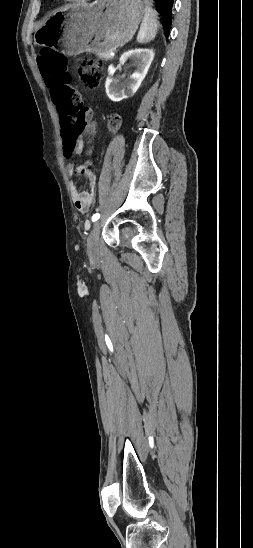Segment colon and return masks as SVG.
<instances>
[{
	"instance_id": "5ec220e1",
	"label": "colon",
	"mask_w": 253,
	"mask_h": 548,
	"mask_svg": "<svg viewBox=\"0 0 253 548\" xmlns=\"http://www.w3.org/2000/svg\"><path fill=\"white\" fill-rule=\"evenodd\" d=\"M43 80L48 83V90L54 105L58 110L61 136L65 139V147L69 153L74 139L82 137L84 131L93 132L94 125L90 123L88 109L82 106L81 95L76 92V81L70 80V64L58 52L41 49L38 57ZM80 86L83 89L96 87L103 77V68L100 63L88 58L80 57L76 62ZM120 125V118L113 115L109 119L110 130H116ZM80 174L91 176V165L84 163L78 167Z\"/></svg>"
}]
</instances>
